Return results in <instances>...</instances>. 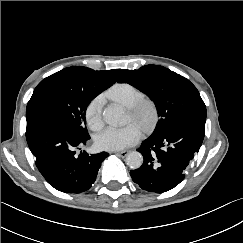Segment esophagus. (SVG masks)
I'll return each mask as SVG.
<instances>
[{
	"label": "esophagus",
	"instance_id": "34e87169",
	"mask_svg": "<svg viewBox=\"0 0 243 243\" xmlns=\"http://www.w3.org/2000/svg\"><path fill=\"white\" fill-rule=\"evenodd\" d=\"M117 155L121 156V157H125L127 156V154L129 153V151L124 150V151H117L115 152Z\"/></svg>",
	"mask_w": 243,
	"mask_h": 243
}]
</instances>
